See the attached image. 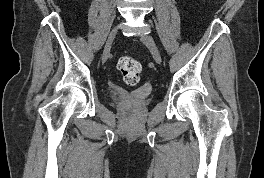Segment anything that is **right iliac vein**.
Masks as SVG:
<instances>
[{
    "instance_id": "obj_1",
    "label": "right iliac vein",
    "mask_w": 264,
    "mask_h": 178,
    "mask_svg": "<svg viewBox=\"0 0 264 178\" xmlns=\"http://www.w3.org/2000/svg\"><path fill=\"white\" fill-rule=\"evenodd\" d=\"M117 31H118V28L114 27L108 36V39H107L105 47H104V52H103L104 58H106L110 53L111 45L113 43L114 38L117 35Z\"/></svg>"
}]
</instances>
